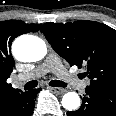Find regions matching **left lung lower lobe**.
I'll return each instance as SVG.
<instances>
[{
	"label": "left lung lower lobe",
	"instance_id": "0a47b994",
	"mask_svg": "<svg viewBox=\"0 0 116 116\" xmlns=\"http://www.w3.org/2000/svg\"><path fill=\"white\" fill-rule=\"evenodd\" d=\"M81 107L67 116H116V90L87 86Z\"/></svg>",
	"mask_w": 116,
	"mask_h": 116
}]
</instances>
